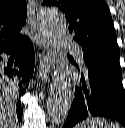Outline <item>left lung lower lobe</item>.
Here are the masks:
<instances>
[{
  "instance_id": "left-lung-lower-lobe-1",
  "label": "left lung lower lobe",
  "mask_w": 125,
  "mask_h": 128,
  "mask_svg": "<svg viewBox=\"0 0 125 128\" xmlns=\"http://www.w3.org/2000/svg\"><path fill=\"white\" fill-rule=\"evenodd\" d=\"M89 116H103L125 126V91L119 62L84 65L64 128Z\"/></svg>"
}]
</instances>
